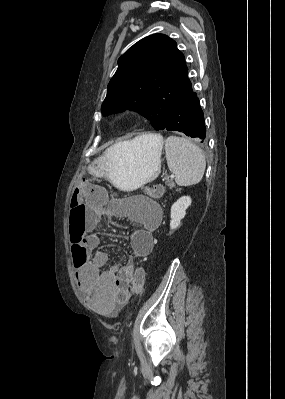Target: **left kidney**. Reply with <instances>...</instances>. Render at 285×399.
<instances>
[{
  "instance_id": "5707ae66",
  "label": "left kidney",
  "mask_w": 285,
  "mask_h": 399,
  "mask_svg": "<svg viewBox=\"0 0 285 399\" xmlns=\"http://www.w3.org/2000/svg\"><path fill=\"white\" fill-rule=\"evenodd\" d=\"M191 205V198L189 196H182L171 207V230L177 229L181 224V219L186 215L187 208Z\"/></svg>"
}]
</instances>
